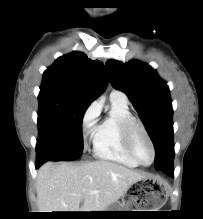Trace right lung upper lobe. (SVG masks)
I'll use <instances>...</instances> for the list:
<instances>
[{"label":"right lung upper lobe","mask_w":203,"mask_h":219,"mask_svg":"<svg viewBox=\"0 0 203 219\" xmlns=\"http://www.w3.org/2000/svg\"><path fill=\"white\" fill-rule=\"evenodd\" d=\"M106 70L99 60L82 52L59 57L43 74L41 91H55L91 103L106 85Z\"/></svg>","instance_id":"1"}]
</instances>
